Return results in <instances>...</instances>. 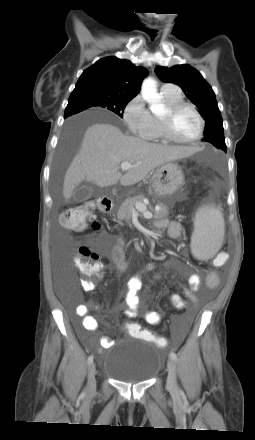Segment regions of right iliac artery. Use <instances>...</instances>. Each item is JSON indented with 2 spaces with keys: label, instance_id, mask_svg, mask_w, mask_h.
Masks as SVG:
<instances>
[{
  "label": "right iliac artery",
  "instance_id": "1",
  "mask_svg": "<svg viewBox=\"0 0 255 440\" xmlns=\"http://www.w3.org/2000/svg\"><path fill=\"white\" fill-rule=\"evenodd\" d=\"M92 362H93V356L90 355V356L88 357L87 363H88V364H91Z\"/></svg>",
  "mask_w": 255,
  "mask_h": 440
}]
</instances>
